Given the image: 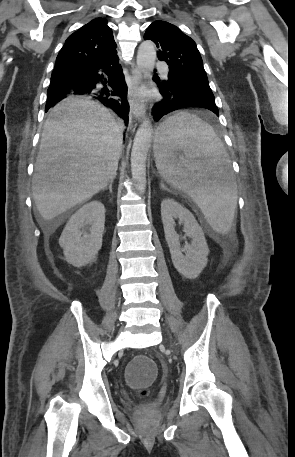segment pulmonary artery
Masks as SVG:
<instances>
[{
    "label": "pulmonary artery",
    "mask_w": 295,
    "mask_h": 457,
    "mask_svg": "<svg viewBox=\"0 0 295 457\" xmlns=\"http://www.w3.org/2000/svg\"><path fill=\"white\" fill-rule=\"evenodd\" d=\"M156 66H157V68L160 70V72L162 73V75L166 78L167 75H168V68H167V66H166L164 63H162V62H157V63H156Z\"/></svg>",
    "instance_id": "pulmonary-artery-1"
}]
</instances>
